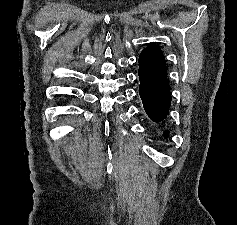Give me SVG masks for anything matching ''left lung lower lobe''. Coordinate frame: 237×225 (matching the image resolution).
Wrapping results in <instances>:
<instances>
[{
  "instance_id": "left-lung-lower-lobe-1",
  "label": "left lung lower lobe",
  "mask_w": 237,
  "mask_h": 225,
  "mask_svg": "<svg viewBox=\"0 0 237 225\" xmlns=\"http://www.w3.org/2000/svg\"><path fill=\"white\" fill-rule=\"evenodd\" d=\"M140 81L139 94L146 113L153 121L161 122L167 117L171 103L169 83L153 81L141 76ZM163 136L167 138L169 132L164 131Z\"/></svg>"
}]
</instances>
